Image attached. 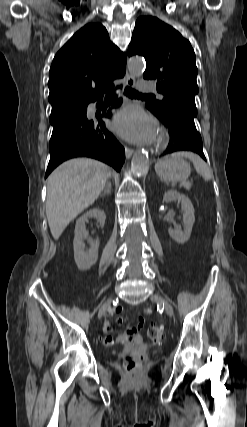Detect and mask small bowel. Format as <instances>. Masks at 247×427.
<instances>
[{
    "instance_id": "obj_1",
    "label": "small bowel",
    "mask_w": 247,
    "mask_h": 427,
    "mask_svg": "<svg viewBox=\"0 0 247 427\" xmlns=\"http://www.w3.org/2000/svg\"><path fill=\"white\" fill-rule=\"evenodd\" d=\"M122 311L121 307H117L115 309V313H116V322L118 324H121L123 322V317L120 315ZM145 315H150L151 314V309L147 308L144 311ZM143 318H139L138 323L136 326L133 327H129L124 333L120 334L117 337L118 341H125V342H138L142 339V336L140 335L139 331L143 326ZM103 330L106 333V336L103 339L104 344L109 345L113 342V337L111 336V331H112V325L111 323L105 319L103 322Z\"/></svg>"
}]
</instances>
